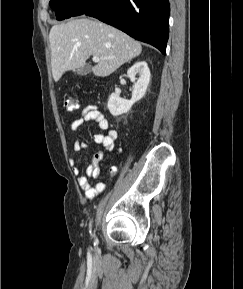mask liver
<instances>
[{
  "mask_svg": "<svg viewBox=\"0 0 243 289\" xmlns=\"http://www.w3.org/2000/svg\"><path fill=\"white\" fill-rule=\"evenodd\" d=\"M49 42L55 82L65 71L83 67L91 55L108 58L92 68L95 76L106 77L142 51L139 42L119 29L85 17L54 25Z\"/></svg>",
  "mask_w": 243,
  "mask_h": 289,
  "instance_id": "liver-1",
  "label": "liver"
}]
</instances>
